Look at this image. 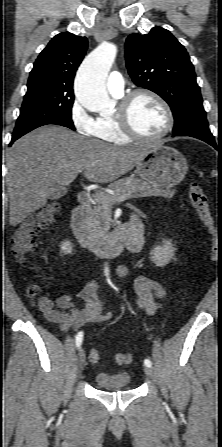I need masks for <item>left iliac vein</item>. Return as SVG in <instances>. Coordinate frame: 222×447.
<instances>
[{
    "mask_svg": "<svg viewBox=\"0 0 222 447\" xmlns=\"http://www.w3.org/2000/svg\"><path fill=\"white\" fill-rule=\"evenodd\" d=\"M144 373H145L149 378H151L152 380H156V374H155V371H154L151 367L145 366V367H144Z\"/></svg>",
    "mask_w": 222,
    "mask_h": 447,
    "instance_id": "obj_1",
    "label": "left iliac vein"
}]
</instances>
